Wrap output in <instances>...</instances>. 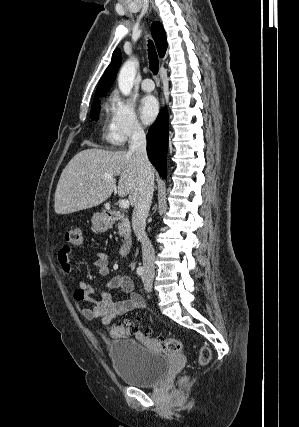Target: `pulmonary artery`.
I'll return each mask as SVG.
<instances>
[{
  "instance_id": "pulmonary-artery-1",
  "label": "pulmonary artery",
  "mask_w": 299,
  "mask_h": 427,
  "mask_svg": "<svg viewBox=\"0 0 299 427\" xmlns=\"http://www.w3.org/2000/svg\"><path fill=\"white\" fill-rule=\"evenodd\" d=\"M141 88L143 91L151 92L154 89V83L150 78L146 77L141 82Z\"/></svg>"
}]
</instances>
